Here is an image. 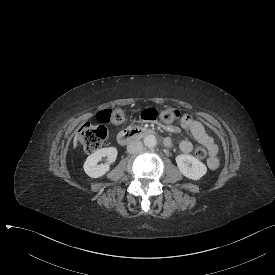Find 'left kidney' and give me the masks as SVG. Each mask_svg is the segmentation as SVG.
<instances>
[{
    "label": "left kidney",
    "instance_id": "1",
    "mask_svg": "<svg viewBox=\"0 0 275 275\" xmlns=\"http://www.w3.org/2000/svg\"><path fill=\"white\" fill-rule=\"evenodd\" d=\"M175 161L180 173L190 180L198 181L207 173L206 165L191 155H177Z\"/></svg>",
    "mask_w": 275,
    "mask_h": 275
}]
</instances>
